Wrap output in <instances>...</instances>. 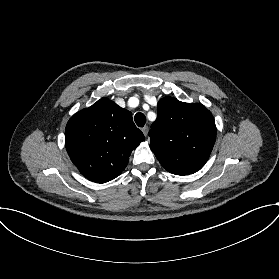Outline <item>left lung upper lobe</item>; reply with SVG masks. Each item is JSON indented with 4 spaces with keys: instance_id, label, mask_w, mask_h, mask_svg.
I'll use <instances>...</instances> for the list:
<instances>
[{
    "instance_id": "left-lung-upper-lobe-1",
    "label": "left lung upper lobe",
    "mask_w": 279,
    "mask_h": 279,
    "mask_svg": "<svg viewBox=\"0 0 279 279\" xmlns=\"http://www.w3.org/2000/svg\"><path fill=\"white\" fill-rule=\"evenodd\" d=\"M212 114L202 104L162 98L151 125L150 148L165 170L189 175L207 162L216 140Z\"/></svg>"
}]
</instances>
